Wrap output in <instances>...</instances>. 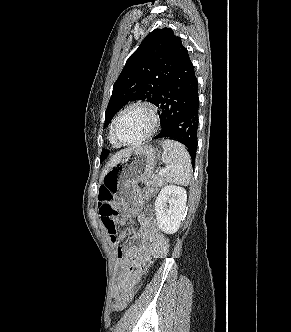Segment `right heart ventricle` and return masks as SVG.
Returning a JSON list of instances; mask_svg holds the SVG:
<instances>
[{"label":"right heart ventricle","mask_w":291,"mask_h":332,"mask_svg":"<svg viewBox=\"0 0 291 332\" xmlns=\"http://www.w3.org/2000/svg\"><path fill=\"white\" fill-rule=\"evenodd\" d=\"M112 126L113 124L111 125V128H110V133H109V140L111 142V144L115 147H120L121 145L114 139L113 137V133H112Z\"/></svg>","instance_id":"1"}]
</instances>
